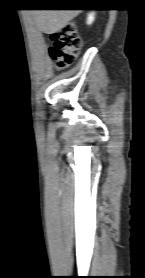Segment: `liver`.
Masks as SVG:
<instances>
[{
    "mask_svg": "<svg viewBox=\"0 0 145 278\" xmlns=\"http://www.w3.org/2000/svg\"><path fill=\"white\" fill-rule=\"evenodd\" d=\"M81 10H33L36 26L46 34H54L64 28Z\"/></svg>",
    "mask_w": 145,
    "mask_h": 278,
    "instance_id": "obj_1",
    "label": "liver"
}]
</instances>
